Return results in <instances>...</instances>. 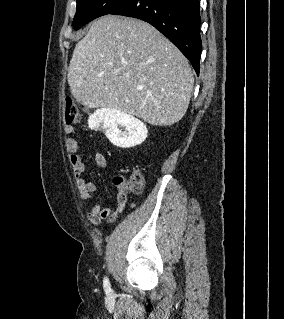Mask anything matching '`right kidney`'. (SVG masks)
I'll list each match as a JSON object with an SVG mask.
<instances>
[{
    "label": "right kidney",
    "instance_id": "right-kidney-1",
    "mask_svg": "<svg viewBox=\"0 0 284 319\" xmlns=\"http://www.w3.org/2000/svg\"><path fill=\"white\" fill-rule=\"evenodd\" d=\"M88 125L91 129L102 127L109 141L120 148L140 145L145 141L148 133L142 121L117 109L96 110L89 116Z\"/></svg>",
    "mask_w": 284,
    "mask_h": 319
}]
</instances>
